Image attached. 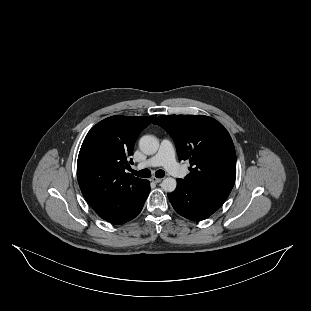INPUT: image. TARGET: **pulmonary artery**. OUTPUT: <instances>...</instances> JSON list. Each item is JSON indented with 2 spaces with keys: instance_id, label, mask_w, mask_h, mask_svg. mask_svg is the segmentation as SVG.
Masks as SVG:
<instances>
[{
  "instance_id": "pulmonary-artery-1",
  "label": "pulmonary artery",
  "mask_w": 311,
  "mask_h": 311,
  "mask_svg": "<svg viewBox=\"0 0 311 311\" xmlns=\"http://www.w3.org/2000/svg\"><path fill=\"white\" fill-rule=\"evenodd\" d=\"M175 152L172 143L163 139L160 143L158 152L151 158L137 165L138 168L163 167L169 173L177 166Z\"/></svg>"
}]
</instances>
